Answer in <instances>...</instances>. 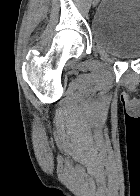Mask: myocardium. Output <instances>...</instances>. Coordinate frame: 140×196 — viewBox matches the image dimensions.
I'll list each match as a JSON object with an SVG mask.
<instances>
[{
	"label": "myocardium",
	"instance_id": "1",
	"mask_svg": "<svg viewBox=\"0 0 140 196\" xmlns=\"http://www.w3.org/2000/svg\"><path fill=\"white\" fill-rule=\"evenodd\" d=\"M88 192H104V191H88ZM121 192H125V191H121Z\"/></svg>",
	"mask_w": 140,
	"mask_h": 196
}]
</instances>
